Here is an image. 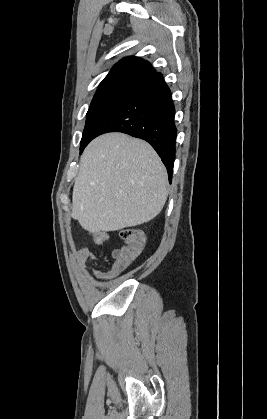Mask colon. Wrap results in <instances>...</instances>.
<instances>
[{
	"instance_id": "colon-1",
	"label": "colon",
	"mask_w": 267,
	"mask_h": 419,
	"mask_svg": "<svg viewBox=\"0 0 267 419\" xmlns=\"http://www.w3.org/2000/svg\"><path fill=\"white\" fill-rule=\"evenodd\" d=\"M123 244L112 253V264L121 271L134 261L143 250L145 239L142 231L136 227L121 232Z\"/></svg>"
}]
</instances>
